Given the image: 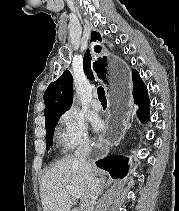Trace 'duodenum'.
<instances>
[{
  "mask_svg": "<svg viewBox=\"0 0 179 211\" xmlns=\"http://www.w3.org/2000/svg\"><path fill=\"white\" fill-rule=\"evenodd\" d=\"M71 211H79L78 209H73V210H71Z\"/></svg>",
  "mask_w": 179,
  "mask_h": 211,
  "instance_id": "duodenum-1",
  "label": "duodenum"
}]
</instances>
